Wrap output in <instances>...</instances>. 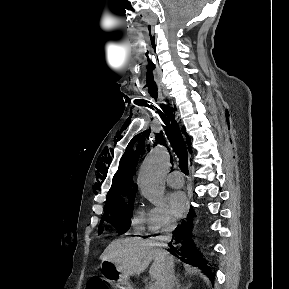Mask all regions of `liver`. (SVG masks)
<instances>
[{"mask_svg":"<svg viewBox=\"0 0 289 289\" xmlns=\"http://www.w3.org/2000/svg\"><path fill=\"white\" fill-rule=\"evenodd\" d=\"M101 260L112 262L125 276L140 275L150 262L149 274L159 289L164 263L172 267L174 257L166 250L154 247L150 241L138 237L123 238L111 242L100 256Z\"/></svg>","mask_w":289,"mask_h":289,"instance_id":"1","label":"liver"}]
</instances>
